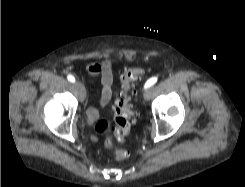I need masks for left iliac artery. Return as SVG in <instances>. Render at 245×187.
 I'll list each match as a JSON object with an SVG mask.
<instances>
[{
	"mask_svg": "<svg viewBox=\"0 0 245 187\" xmlns=\"http://www.w3.org/2000/svg\"><path fill=\"white\" fill-rule=\"evenodd\" d=\"M157 77H152V78H150L146 83H145V88H148V87H150V86H152V85H154L156 82H157Z\"/></svg>",
	"mask_w": 245,
	"mask_h": 187,
	"instance_id": "obj_1",
	"label": "left iliac artery"
}]
</instances>
